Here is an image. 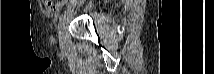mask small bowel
<instances>
[{"instance_id": "1", "label": "small bowel", "mask_w": 214, "mask_h": 74, "mask_svg": "<svg viewBox=\"0 0 214 74\" xmlns=\"http://www.w3.org/2000/svg\"><path fill=\"white\" fill-rule=\"evenodd\" d=\"M61 7V5H58L57 8L59 9Z\"/></svg>"}]
</instances>
